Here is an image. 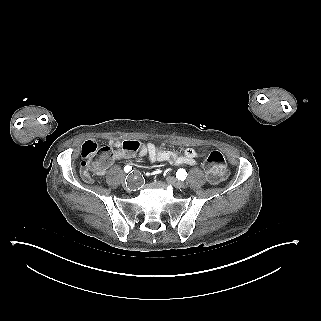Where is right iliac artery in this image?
<instances>
[{"mask_svg":"<svg viewBox=\"0 0 321 321\" xmlns=\"http://www.w3.org/2000/svg\"><path fill=\"white\" fill-rule=\"evenodd\" d=\"M131 169H132V167L129 166V165H126V166L124 167V171H125L126 173L130 172Z\"/></svg>","mask_w":321,"mask_h":321,"instance_id":"right-iliac-artery-1","label":"right iliac artery"}]
</instances>
